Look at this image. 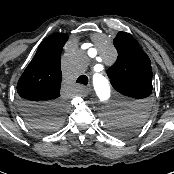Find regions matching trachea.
Wrapping results in <instances>:
<instances>
[{"label":"trachea","mask_w":174,"mask_h":174,"mask_svg":"<svg viewBox=\"0 0 174 174\" xmlns=\"http://www.w3.org/2000/svg\"><path fill=\"white\" fill-rule=\"evenodd\" d=\"M76 82L83 84V85H87L88 84V77L86 75H81L78 77Z\"/></svg>","instance_id":"3493384b"}]
</instances>
